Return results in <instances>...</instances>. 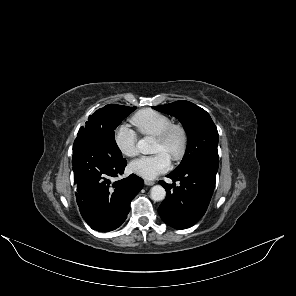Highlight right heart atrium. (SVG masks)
Returning <instances> with one entry per match:
<instances>
[{"label": "right heart atrium", "mask_w": 296, "mask_h": 296, "mask_svg": "<svg viewBox=\"0 0 296 296\" xmlns=\"http://www.w3.org/2000/svg\"><path fill=\"white\" fill-rule=\"evenodd\" d=\"M114 142L117 149L125 156L133 157L138 154L137 134L127 124H121L114 132Z\"/></svg>", "instance_id": "obj_1"}]
</instances>
